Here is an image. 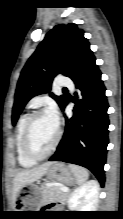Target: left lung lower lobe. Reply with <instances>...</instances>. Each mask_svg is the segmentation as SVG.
Masks as SVG:
<instances>
[{
	"mask_svg": "<svg viewBox=\"0 0 123 219\" xmlns=\"http://www.w3.org/2000/svg\"><path fill=\"white\" fill-rule=\"evenodd\" d=\"M76 88L73 117H66L62 140L50 161L77 164L91 170L104 185L108 145V102L95 57L87 60L72 78ZM70 99H66L64 110Z\"/></svg>",
	"mask_w": 123,
	"mask_h": 219,
	"instance_id": "1",
	"label": "left lung lower lobe"
}]
</instances>
